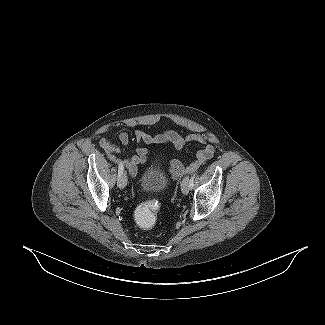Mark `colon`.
<instances>
[{"mask_svg": "<svg viewBox=\"0 0 325 325\" xmlns=\"http://www.w3.org/2000/svg\"><path fill=\"white\" fill-rule=\"evenodd\" d=\"M158 216V205L155 200H147L136 209L134 220L142 229H150L154 226Z\"/></svg>", "mask_w": 325, "mask_h": 325, "instance_id": "5ec220e1", "label": "colon"}]
</instances>
